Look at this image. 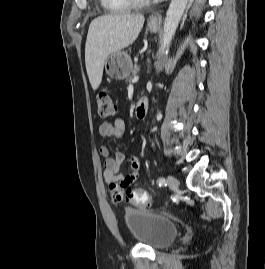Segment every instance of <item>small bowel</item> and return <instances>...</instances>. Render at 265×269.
Segmentation results:
<instances>
[{
  "mask_svg": "<svg viewBox=\"0 0 265 269\" xmlns=\"http://www.w3.org/2000/svg\"><path fill=\"white\" fill-rule=\"evenodd\" d=\"M126 129V125L123 119L118 118L113 122H103L99 126V133L102 137H121L123 136ZM99 153L105 158L104 160V179L107 184L112 187H118L121 189L130 186L134 183L140 172V162L136 156L130 158V168L126 175H122L120 170V165L124 161V154L120 151L111 154L110 149L106 145H101L99 147ZM112 199L115 202H120L123 198L114 197L112 194Z\"/></svg>",
  "mask_w": 265,
  "mask_h": 269,
  "instance_id": "small-bowel-1",
  "label": "small bowel"
}]
</instances>
